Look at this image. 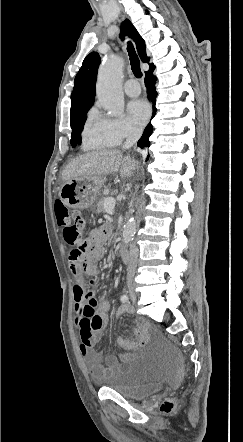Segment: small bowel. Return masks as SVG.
Wrapping results in <instances>:
<instances>
[{
  "label": "small bowel",
  "instance_id": "c3829d8e",
  "mask_svg": "<svg viewBox=\"0 0 243 442\" xmlns=\"http://www.w3.org/2000/svg\"><path fill=\"white\" fill-rule=\"evenodd\" d=\"M112 226L103 224L92 229L85 246V257L79 263H73L69 260L71 272L79 279L73 286V296L75 301V320L78 326L80 343L78 352L84 360L91 378L96 381H102L113 373L119 360L129 356L128 353L121 357L109 355L102 359V356L96 352L95 346L102 338L104 329L107 325L111 302L106 298H97L95 296L96 284L93 280H88V284L80 279L82 274L95 277L98 274V263L103 259L106 249L105 243L110 237ZM132 307L129 304L122 306L121 313H129ZM149 325L143 321H137L135 330L136 338L127 340L123 337H117V345L126 350H134L143 346L148 339ZM103 360V361H102Z\"/></svg>",
  "mask_w": 243,
  "mask_h": 442
}]
</instances>
